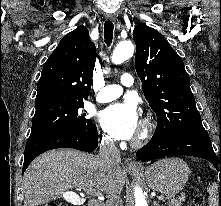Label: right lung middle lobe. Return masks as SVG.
<instances>
[{
  "label": "right lung middle lobe",
  "mask_w": 221,
  "mask_h": 206,
  "mask_svg": "<svg viewBox=\"0 0 221 206\" xmlns=\"http://www.w3.org/2000/svg\"><path fill=\"white\" fill-rule=\"evenodd\" d=\"M83 102L51 103L36 107L30 136L57 131H83L92 128V120L81 111Z\"/></svg>",
  "instance_id": "dd1d6c3e"
}]
</instances>
